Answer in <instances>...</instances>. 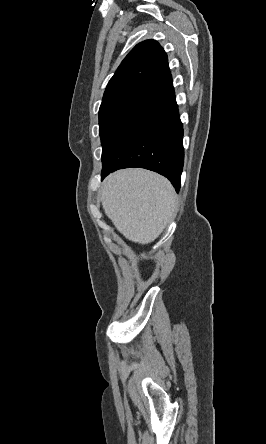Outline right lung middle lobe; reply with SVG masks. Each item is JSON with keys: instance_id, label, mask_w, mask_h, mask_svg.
Returning <instances> with one entry per match:
<instances>
[{"instance_id": "dd1d6c3e", "label": "right lung middle lobe", "mask_w": 266, "mask_h": 444, "mask_svg": "<svg viewBox=\"0 0 266 444\" xmlns=\"http://www.w3.org/2000/svg\"><path fill=\"white\" fill-rule=\"evenodd\" d=\"M165 106L161 99L145 94H132L101 104L99 133L102 162Z\"/></svg>"}]
</instances>
